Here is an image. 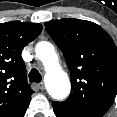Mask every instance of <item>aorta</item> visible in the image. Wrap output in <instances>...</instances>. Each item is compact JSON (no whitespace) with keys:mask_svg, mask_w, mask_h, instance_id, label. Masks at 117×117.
<instances>
[{"mask_svg":"<svg viewBox=\"0 0 117 117\" xmlns=\"http://www.w3.org/2000/svg\"><path fill=\"white\" fill-rule=\"evenodd\" d=\"M35 52L45 66V81L48 93L55 100L65 99L70 93L71 85L67 74L59 65L54 46L49 42L42 41L36 45Z\"/></svg>","mask_w":117,"mask_h":117,"instance_id":"obj_1","label":"aorta"}]
</instances>
